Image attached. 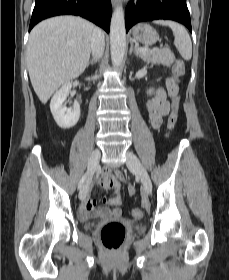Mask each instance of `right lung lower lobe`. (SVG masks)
I'll return each instance as SVG.
<instances>
[{
    "instance_id": "right-lung-lower-lobe-1",
    "label": "right lung lower lobe",
    "mask_w": 229,
    "mask_h": 280,
    "mask_svg": "<svg viewBox=\"0 0 229 280\" xmlns=\"http://www.w3.org/2000/svg\"><path fill=\"white\" fill-rule=\"evenodd\" d=\"M67 14L82 16L109 33L110 0H36L29 31L43 19Z\"/></svg>"
}]
</instances>
